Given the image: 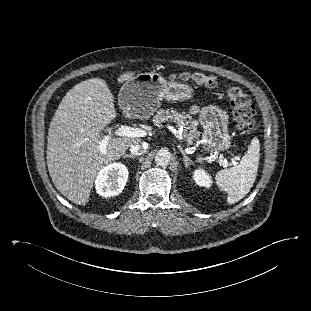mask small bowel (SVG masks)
I'll return each mask as SVG.
<instances>
[{"mask_svg":"<svg viewBox=\"0 0 311 311\" xmlns=\"http://www.w3.org/2000/svg\"><path fill=\"white\" fill-rule=\"evenodd\" d=\"M199 111V108L197 106L192 107L191 113L196 114Z\"/></svg>","mask_w":311,"mask_h":311,"instance_id":"1","label":"small bowel"}]
</instances>
